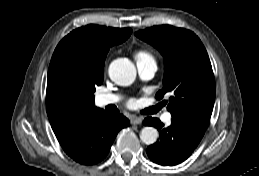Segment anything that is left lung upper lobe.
I'll use <instances>...</instances> for the list:
<instances>
[{"label":"left lung upper lobe","mask_w":259,"mask_h":176,"mask_svg":"<svg viewBox=\"0 0 259 176\" xmlns=\"http://www.w3.org/2000/svg\"><path fill=\"white\" fill-rule=\"evenodd\" d=\"M135 35L164 56V87L156 94L170 93L167 109L172 117L207 127L215 101V80L207 51L193 32L170 25L141 30Z\"/></svg>","instance_id":"left-lung-upper-lobe-1"}]
</instances>
